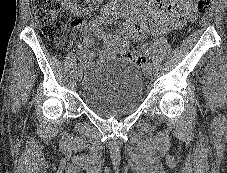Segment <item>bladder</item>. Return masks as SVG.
I'll list each match as a JSON object with an SVG mask.
<instances>
[{
  "instance_id": "31cf9c89",
  "label": "bladder",
  "mask_w": 227,
  "mask_h": 173,
  "mask_svg": "<svg viewBox=\"0 0 227 173\" xmlns=\"http://www.w3.org/2000/svg\"><path fill=\"white\" fill-rule=\"evenodd\" d=\"M144 97L139 67L126 59H109L83 80L81 99L94 114L120 118L137 110Z\"/></svg>"
}]
</instances>
